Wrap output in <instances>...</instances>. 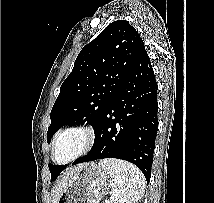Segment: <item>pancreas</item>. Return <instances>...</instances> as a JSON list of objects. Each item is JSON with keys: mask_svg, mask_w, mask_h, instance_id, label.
<instances>
[{"mask_svg": "<svg viewBox=\"0 0 214 203\" xmlns=\"http://www.w3.org/2000/svg\"><path fill=\"white\" fill-rule=\"evenodd\" d=\"M105 203H115V201H106Z\"/></svg>", "mask_w": 214, "mask_h": 203, "instance_id": "pancreas-1", "label": "pancreas"}]
</instances>
